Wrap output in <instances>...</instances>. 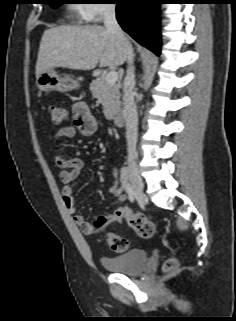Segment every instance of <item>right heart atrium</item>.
<instances>
[{"label":"right heart atrium","instance_id":"d8ad5b80","mask_svg":"<svg viewBox=\"0 0 236 321\" xmlns=\"http://www.w3.org/2000/svg\"><path fill=\"white\" fill-rule=\"evenodd\" d=\"M84 5L82 17L89 22H99L115 10L112 0H90Z\"/></svg>","mask_w":236,"mask_h":321}]
</instances>
